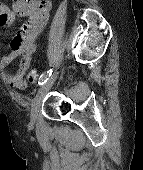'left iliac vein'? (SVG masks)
I'll use <instances>...</instances> for the list:
<instances>
[{
	"label": "left iliac vein",
	"mask_w": 143,
	"mask_h": 170,
	"mask_svg": "<svg viewBox=\"0 0 143 170\" xmlns=\"http://www.w3.org/2000/svg\"><path fill=\"white\" fill-rule=\"evenodd\" d=\"M58 73L50 77L45 83H43L38 91L36 96L34 97V100L32 102V108H31V122L34 123L37 119L38 112L40 110L41 102L44 96L48 93L52 85L54 84Z\"/></svg>",
	"instance_id": "left-iliac-vein-1"
}]
</instances>
